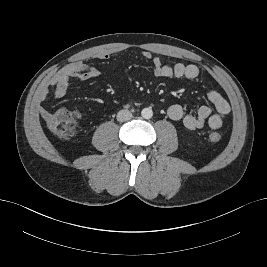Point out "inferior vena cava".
Listing matches in <instances>:
<instances>
[{"label": "inferior vena cava", "mask_w": 267, "mask_h": 267, "mask_svg": "<svg viewBox=\"0 0 267 267\" xmlns=\"http://www.w3.org/2000/svg\"><path fill=\"white\" fill-rule=\"evenodd\" d=\"M131 118H132V113L127 109L120 110L117 113V120L119 122H125V121L130 120Z\"/></svg>", "instance_id": "1"}]
</instances>
